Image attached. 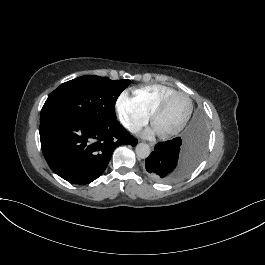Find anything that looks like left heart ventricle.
Listing matches in <instances>:
<instances>
[{
  "instance_id": "1",
  "label": "left heart ventricle",
  "mask_w": 265,
  "mask_h": 265,
  "mask_svg": "<svg viewBox=\"0 0 265 265\" xmlns=\"http://www.w3.org/2000/svg\"><path fill=\"white\" fill-rule=\"evenodd\" d=\"M186 110V100L176 95L170 98L157 115L155 128L159 132L174 128L183 118Z\"/></svg>"
}]
</instances>
